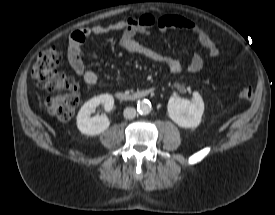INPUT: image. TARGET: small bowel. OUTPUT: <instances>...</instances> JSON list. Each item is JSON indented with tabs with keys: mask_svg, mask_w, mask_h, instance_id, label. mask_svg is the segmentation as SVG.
<instances>
[{
	"mask_svg": "<svg viewBox=\"0 0 275 215\" xmlns=\"http://www.w3.org/2000/svg\"><path fill=\"white\" fill-rule=\"evenodd\" d=\"M157 27L161 31L184 29L191 32L200 46L213 58L220 56V51L209 34L194 21L175 14L156 16L152 13H142L129 17L127 20H119L107 25L84 27L71 33L68 40L67 57L73 71L81 76L84 82L90 86L100 87L97 74L87 68L81 59V47L84 41L91 35H102L112 31H121L120 46L131 53H136L144 58L162 63L172 73L181 71V63L178 59L164 55L152 48L140 44L136 37L139 34H147L148 31ZM203 67V59L199 53H194L187 69L190 72H198Z\"/></svg>",
	"mask_w": 275,
	"mask_h": 215,
	"instance_id": "c3829d8e",
	"label": "small bowel"
}]
</instances>
